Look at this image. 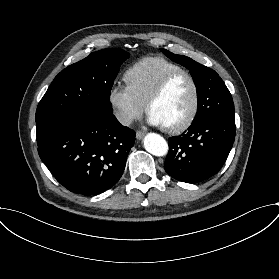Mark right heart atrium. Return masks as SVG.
Listing matches in <instances>:
<instances>
[{"label": "right heart atrium", "instance_id": "1", "mask_svg": "<svg viewBox=\"0 0 279 279\" xmlns=\"http://www.w3.org/2000/svg\"><path fill=\"white\" fill-rule=\"evenodd\" d=\"M108 101L123 126L130 125L146 110V102L128 84L114 83L108 91Z\"/></svg>", "mask_w": 279, "mask_h": 279}]
</instances>
